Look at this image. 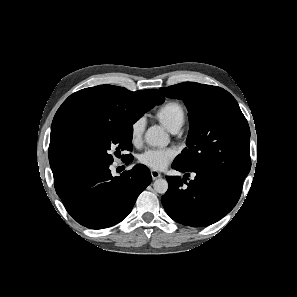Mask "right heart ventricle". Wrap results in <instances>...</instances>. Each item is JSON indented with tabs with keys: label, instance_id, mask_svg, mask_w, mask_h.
I'll return each mask as SVG.
<instances>
[{
	"label": "right heart ventricle",
	"instance_id": "obj_1",
	"mask_svg": "<svg viewBox=\"0 0 297 297\" xmlns=\"http://www.w3.org/2000/svg\"><path fill=\"white\" fill-rule=\"evenodd\" d=\"M156 118L171 132L179 130L185 122V111L177 101H168L155 113Z\"/></svg>",
	"mask_w": 297,
	"mask_h": 297
}]
</instances>
